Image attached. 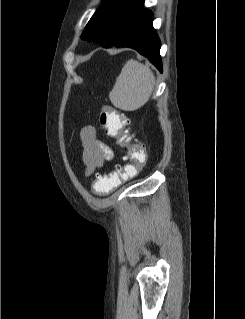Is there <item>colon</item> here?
Here are the masks:
<instances>
[{
    "label": "colon",
    "mask_w": 245,
    "mask_h": 319,
    "mask_svg": "<svg viewBox=\"0 0 245 319\" xmlns=\"http://www.w3.org/2000/svg\"><path fill=\"white\" fill-rule=\"evenodd\" d=\"M99 125L105 134L115 140L118 147L126 149L124 165L116 166L108 174H97L92 181L95 193L107 194L135 177L146 164L147 153L144 146L133 140L130 120L111 105H103L99 115Z\"/></svg>",
    "instance_id": "1"
}]
</instances>
